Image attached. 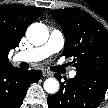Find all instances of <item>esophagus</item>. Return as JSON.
<instances>
[{
  "label": "esophagus",
  "instance_id": "obj_1",
  "mask_svg": "<svg viewBox=\"0 0 108 108\" xmlns=\"http://www.w3.org/2000/svg\"><path fill=\"white\" fill-rule=\"evenodd\" d=\"M43 76L51 77V76H53V74L51 72L45 70V71H43Z\"/></svg>",
  "mask_w": 108,
  "mask_h": 108
}]
</instances>
